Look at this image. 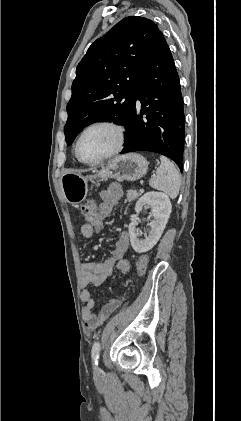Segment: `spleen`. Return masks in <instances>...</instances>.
<instances>
[{
    "instance_id": "1",
    "label": "spleen",
    "mask_w": 241,
    "mask_h": 421,
    "mask_svg": "<svg viewBox=\"0 0 241 421\" xmlns=\"http://www.w3.org/2000/svg\"><path fill=\"white\" fill-rule=\"evenodd\" d=\"M161 165L156 174L149 180V185L163 191L167 196L176 198L180 190V176L175 165L166 157L160 156Z\"/></svg>"
}]
</instances>
